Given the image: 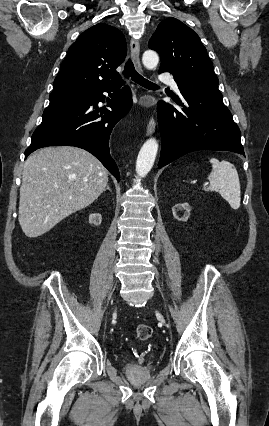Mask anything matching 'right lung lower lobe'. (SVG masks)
<instances>
[{
    "instance_id": "1",
    "label": "right lung lower lobe",
    "mask_w": 269,
    "mask_h": 426,
    "mask_svg": "<svg viewBox=\"0 0 269 426\" xmlns=\"http://www.w3.org/2000/svg\"><path fill=\"white\" fill-rule=\"evenodd\" d=\"M116 85L90 90L75 105L42 116V123L34 131L25 158L33 151L46 146H75L96 156L109 172L120 181V174L109 150V137L116 123L125 117L132 107V95L128 86ZM114 92L111 94V92ZM107 92L112 101V111H101L98 103L105 101Z\"/></svg>"
}]
</instances>
